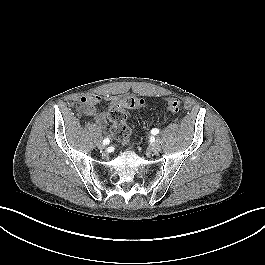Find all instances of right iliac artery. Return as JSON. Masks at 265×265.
<instances>
[{"label":"right iliac artery","mask_w":265,"mask_h":265,"mask_svg":"<svg viewBox=\"0 0 265 265\" xmlns=\"http://www.w3.org/2000/svg\"><path fill=\"white\" fill-rule=\"evenodd\" d=\"M109 142H110V140H109L108 138H106V139L103 140V144H104V145L109 144Z\"/></svg>","instance_id":"82829eb1"}]
</instances>
